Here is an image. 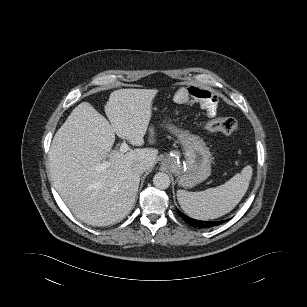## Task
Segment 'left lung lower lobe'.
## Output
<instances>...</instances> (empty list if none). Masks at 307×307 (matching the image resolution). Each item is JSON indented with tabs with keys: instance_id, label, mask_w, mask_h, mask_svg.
Returning a JSON list of instances; mask_svg holds the SVG:
<instances>
[{
	"instance_id": "left-lung-lower-lobe-1",
	"label": "left lung lower lobe",
	"mask_w": 307,
	"mask_h": 307,
	"mask_svg": "<svg viewBox=\"0 0 307 307\" xmlns=\"http://www.w3.org/2000/svg\"><path fill=\"white\" fill-rule=\"evenodd\" d=\"M178 211V214L187 222L189 223L190 225L196 227V228H210V227H213V226H217L219 224H221L222 222L224 221H216V222H207V221H199V220H195V219H192L186 215H184L183 213H181L179 210Z\"/></svg>"
}]
</instances>
